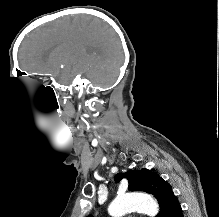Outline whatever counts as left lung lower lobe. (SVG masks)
I'll list each match as a JSON object with an SVG mask.
<instances>
[{
    "label": "left lung lower lobe",
    "mask_w": 219,
    "mask_h": 217,
    "mask_svg": "<svg viewBox=\"0 0 219 217\" xmlns=\"http://www.w3.org/2000/svg\"><path fill=\"white\" fill-rule=\"evenodd\" d=\"M168 217H184L179 202L174 203Z\"/></svg>",
    "instance_id": "1"
}]
</instances>
